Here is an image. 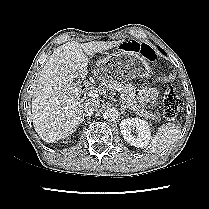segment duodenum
<instances>
[{
  "label": "duodenum",
  "instance_id": "duodenum-1",
  "mask_svg": "<svg viewBox=\"0 0 209 209\" xmlns=\"http://www.w3.org/2000/svg\"><path fill=\"white\" fill-rule=\"evenodd\" d=\"M80 84H81V87H85L86 81H85V80H81V81H80Z\"/></svg>",
  "mask_w": 209,
  "mask_h": 209
}]
</instances>
